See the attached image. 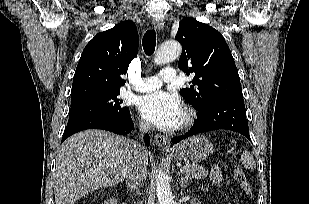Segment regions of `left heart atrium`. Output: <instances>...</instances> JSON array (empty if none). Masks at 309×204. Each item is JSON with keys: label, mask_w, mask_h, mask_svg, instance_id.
Instances as JSON below:
<instances>
[{"label": "left heart atrium", "mask_w": 309, "mask_h": 204, "mask_svg": "<svg viewBox=\"0 0 309 204\" xmlns=\"http://www.w3.org/2000/svg\"><path fill=\"white\" fill-rule=\"evenodd\" d=\"M138 106L143 117L161 129L177 127L183 116L179 98L164 91L142 96Z\"/></svg>", "instance_id": "obj_1"}]
</instances>
